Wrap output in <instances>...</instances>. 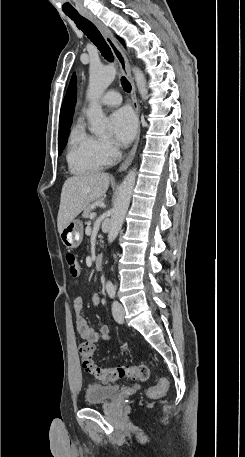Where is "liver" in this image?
<instances>
[{"instance_id":"liver-1","label":"liver","mask_w":245,"mask_h":457,"mask_svg":"<svg viewBox=\"0 0 245 457\" xmlns=\"http://www.w3.org/2000/svg\"><path fill=\"white\" fill-rule=\"evenodd\" d=\"M108 172H90L69 176L62 186L60 206L57 216L58 231L62 233L64 226L73 220L87 204L100 198L108 186Z\"/></svg>"}]
</instances>
